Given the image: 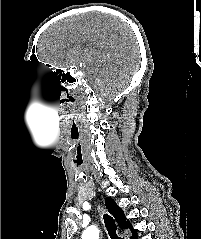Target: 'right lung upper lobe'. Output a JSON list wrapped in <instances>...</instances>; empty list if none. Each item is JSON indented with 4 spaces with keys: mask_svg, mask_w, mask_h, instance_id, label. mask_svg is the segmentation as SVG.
Segmentation results:
<instances>
[{
    "mask_svg": "<svg viewBox=\"0 0 201 239\" xmlns=\"http://www.w3.org/2000/svg\"><path fill=\"white\" fill-rule=\"evenodd\" d=\"M105 205L108 211L114 216L116 222L121 229H129L132 233L130 239H135L137 237V230L134 229L131 223L126 219L123 210L115 203L111 197L105 199Z\"/></svg>",
    "mask_w": 201,
    "mask_h": 239,
    "instance_id": "1",
    "label": "right lung upper lobe"
}]
</instances>
